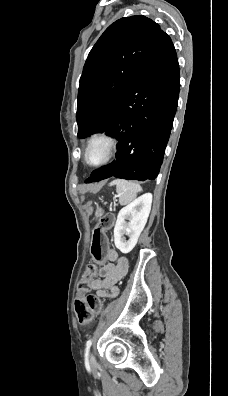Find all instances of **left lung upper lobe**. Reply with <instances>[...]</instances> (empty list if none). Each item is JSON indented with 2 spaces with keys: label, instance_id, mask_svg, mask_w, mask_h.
Listing matches in <instances>:
<instances>
[{
  "label": "left lung upper lobe",
  "instance_id": "1",
  "mask_svg": "<svg viewBox=\"0 0 228 396\" xmlns=\"http://www.w3.org/2000/svg\"><path fill=\"white\" fill-rule=\"evenodd\" d=\"M161 31L151 19L137 15L115 21L101 35L87 57L80 78L78 137L105 132Z\"/></svg>",
  "mask_w": 228,
  "mask_h": 396
}]
</instances>
